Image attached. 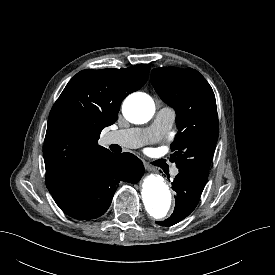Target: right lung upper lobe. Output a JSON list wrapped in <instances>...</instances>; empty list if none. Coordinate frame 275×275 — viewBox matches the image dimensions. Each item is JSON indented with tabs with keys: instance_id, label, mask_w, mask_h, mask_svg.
<instances>
[{
	"instance_id": "cb5924a9",
	"label": "right lung upper lobe",
	"mask_w": 275,
	"mask_h": 275,
	"mask_svg": "<svg viewBox=\"0 0 275 275\" xmlns=\"http://www.w3.org/2000/svg\"><path fill=\"white\" fill-rule=\"evenodd\" d=\"M150 66L86 69L77 73L53 105L44 140L50 193L90 160L108 152L98 145L103 128L116 122L121 102L147 81Z\"/></svg>"
}]
</instances>
